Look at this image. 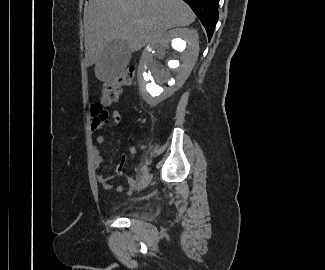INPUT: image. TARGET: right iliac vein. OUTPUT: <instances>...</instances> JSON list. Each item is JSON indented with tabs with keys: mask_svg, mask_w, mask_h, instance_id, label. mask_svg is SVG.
Returning <instances> with one entry per match:
<instances>
[{
	"mask_svg": "<svg viewBox=\"0 0 325 270\" xmlns=\"http://www.w3.org/2000/svg\"><path fill=\"white\" fill-rule=\"evenodd\" d=\"M152 179V175L148 174L146 175L138 184L137 186V190H143L144 188H146L148 186V184L150 183Z\"/></svg>",
	"mask_w": 325,
	"mask_h": 270,
	"instance_id": "right-iliac-vein-1",
	"label": "right iliac vein"
}]
</instances>
